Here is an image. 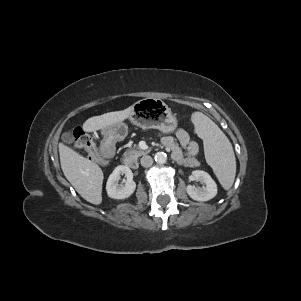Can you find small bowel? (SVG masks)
Wrapping results in <instances>:
<instances>
[{"mask_svg": "<svg viewBox=\"0 0 301 301\" xmlns=\"http://www.w3.org/2000/svg\"><path fill=\"white\" fill-rule=\"evenodd\" d=\"M176 140L164 136L163 143L170 150L172 157L182 164H187L199 151L198 144L190 139L189 134L182 128L175 131Z\"/></svg>", "mask_w": 301, "mask_h": 301, "instance_id": "obj_1", "label": "small bowel"}]
</instances>
